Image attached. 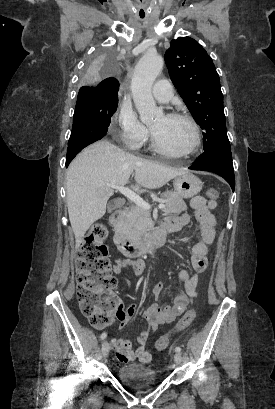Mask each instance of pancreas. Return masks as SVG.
Masks as SVG:
<instances>
[{"label":"pancreas","instance_id":"cf45deb5","mask_svg":"<svg viewBox=\"0 0 275 409\" xmlns=\"http://www.w3.org/2000/svg\"><path fill=\"white\" fill-rule=\"evenodd\" d=\"M161 200H165L164 215L168 213H182V211H187V207L182 196H179L174 190H166L162 192ZM153 221L150 217V211H146L143 207H129L125 211L124 217L119 219L117 225V233L125 235L130 241H135V239H140L143 233L146 231H151Z\"/></svg>","mask_w":275,"mask_h":409}]
</instances>
